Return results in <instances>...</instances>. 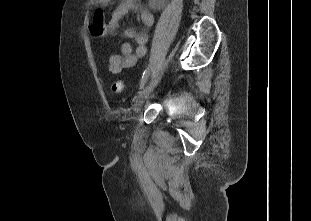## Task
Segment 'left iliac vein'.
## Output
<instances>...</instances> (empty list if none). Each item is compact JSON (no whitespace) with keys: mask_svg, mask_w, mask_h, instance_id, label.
<instances>
[{"mask_svg":"<svg viewBox=\"0 0 311 221\" xmlns=\"http://www.w3.org/2000/svg\"><path fill=\"white\" fill-rule=\"evenodd\" d=\"M158 80L150 82L142 91H140L139 95L137 96L134 102V111L138 113L141 110L142 105L144 104L145 100L149 97L150 93L155 88Z\"/></svg>","mask_w":311,"mask_h":221,"instance_id":"obj_1","label":"left iliac vein"}]
</instances>
